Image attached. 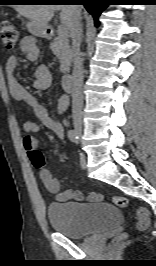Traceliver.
Returning a JSON list of instances; mask_svg holds the SVG:
<instances>
[{
	"instance_id": "6515ba94",
	"label": "liver",
	"mask_w": 156,
	"mask_h": 266,
	"mask_svg": "<svg viewBox=\"0 0 156 266\" xmlns=\"http://www.w3.org/2000/svg\"><path fill=\"white\" fill-rule=\"evenodd\" d=\"M17 11L31 20L37 27L46 29L56 11L60 12L62 24L70 31L72 23V5H20Z\"/></svg>"
}]
</instances>
